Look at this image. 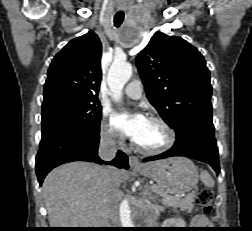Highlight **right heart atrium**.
<instances>
[{
	"label": "right heart atrium",
	"instance_id": "d8ad5b80",
	"mask_svg": "<svg viewBox=\"0 0 252 231\" xmlns=\"http://www.w3.org/2000/svg\"><path fill=\"white\" fill-rule=\"evenodd\" d=\"M100 136L104 142L110 145L122 146L124 143L123 137L115 131L113 126L107 120L106 115L103 116L100 124Z\"/></svg>",
	"mask_w": 252,
	"mask_h": 231
}]
</instances>
